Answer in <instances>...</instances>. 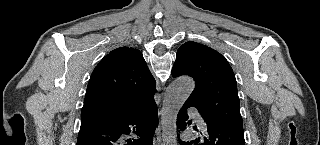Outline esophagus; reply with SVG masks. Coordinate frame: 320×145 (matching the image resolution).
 Returning a JSON list of instances; mask_svg holds the SVG:
<instances>
[{"instance_id":"1","label":"esophagus","mask_w":320,"mask_h":145,"mask_svg":"<svg viewBox=\"0 0 320 145\" xmlns=\"http://www.w3.org/2000/svg\"><path fill=\"white\" fill-rule=\"evenodd\" d=\"M153 144L154 145H161L162 144V136H161V127L158 126L156 129L154 138H153Z\"/></svg>"}]
</instances>
